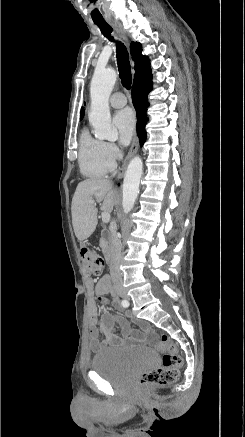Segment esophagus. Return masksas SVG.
I'll return each mask as SVG.
<instances>
[{"label": "esophagus", "mask_w": 245, "mask_h": 437, "mask_svg": "<svg viewBox=\"0 0 245 437\" xmlns=\"http://www.w3.org/2000/svg\"><path fill=\"white\" fill-rule=\"evenodd\" d=\"M118 32L122 35V37H124L123 33L120 30H118ZM138 148H139V139H138L137 135H135L133 142L131 144V147L129 149V152H128V154H127V156H126V158H125V160H124V162H123V164L118 172V178L123 177L124 172L127 168V165L129 163L130 159L136 154V152L138 151Z\"/></svg>", "instance_id": "esophagus-1"}]
</instances>
